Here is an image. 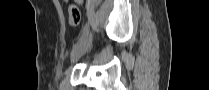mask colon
Wrapping results in <instances>:
<instances>
[{
  "instance_id": "colon-1",
  "label": "colon",
  "mask_w": 209,
  "mask_h": 90,
  "mask_svg": "<svg viewBox=\"0 0 209 90\" xmlns=\"http://www.w3.org/2000/svg\"><path fill=\"white\" fill-rule=\"evenodd\" d=\"M69 19L72 25H77L80 21V11L76 5H71L69 8Z\"/></svg>"
}]
</instances>
